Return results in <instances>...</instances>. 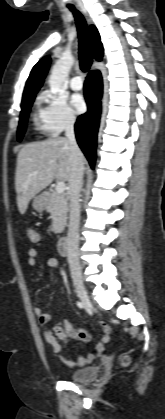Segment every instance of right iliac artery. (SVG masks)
I'll list each match as a JSON object with an SVG mask.
<instances>
[{
	"label": "right iliac artery",
	"mask_w": 165,
	"mask_h": 419,
	"mask_svg": "<svg viewBox=\"0 0 165 419\" xmlns=\"http://www.w3.org/2000/svg\"><path fill=\"white\" fill-rule=\"evenodd\" d=\"M77 306H78L79 308H83L82 303H81V302H79V301H77Z\"/></svg>",
	"instance_id": "1"
}]
</instances>
